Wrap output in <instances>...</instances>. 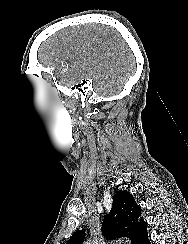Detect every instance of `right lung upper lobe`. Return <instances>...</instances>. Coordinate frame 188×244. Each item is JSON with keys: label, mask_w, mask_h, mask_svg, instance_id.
<instances>
[{"label": "right lung upper lobe", "mask_w": 188, "mask_h": 244, "mask_svg": "<svg viewBox=\"0 0 188 244\" xmlns=\"http://www.w3.org/2000/svg\"><path fill=\"white\" fill-rule=\"evenodd\" d=\"M141 208L133 196L127 191H118L113 197V204L109 214L102 223V234L108 239L127 237L131 244H135L146 232L147 224L139 216ZM85 230L76 231L66 244H81Z\"/></svg>", "instance_id": "obj_1"}]
</instances>
